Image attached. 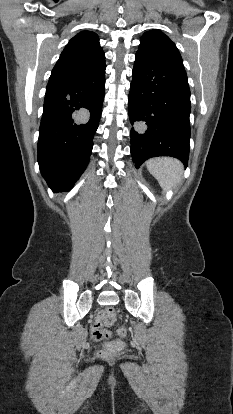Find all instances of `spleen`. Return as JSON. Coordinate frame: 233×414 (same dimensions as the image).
<instances>
[{
    "mask_svg": "<svg viewBox=\"0 0 233 414\" xmlns=\"http://www.w3.org/2000/svg\"><path fill=\"white\" fill-rule=\"evenodd\" d=\"M146 165L163 190L173 189L181 183L183 165L179 160L171 157H158L150 159Z\"/></svg>",
    "mask_w": 233,
    "mask_h": 414,
    "instance_id": "obj_1",
    "label": "spleen"
}]
</instances>
